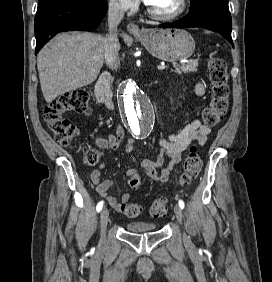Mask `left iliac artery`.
<instances>
[{"label": "left iliac artery", "mask_w": 272, "mask_h": 282, "mask_svg": "<svg viewBox=\"0 0 272 282\" xmlns=\"http://www.w3.org/2000/svg\"><path fill=\"white\" fill-rule=\"evenodd\" d=\"M179 206H180L182 209L184 208L185 204H184V202H183L182 200H179Z\"/></svg>", "instance_id": "obj_1"}]
</instances>
